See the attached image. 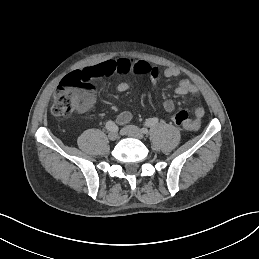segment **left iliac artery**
Returning a JSON list of instances; mask_svg holds the SVG:
<instances>
[{"label": "left iliac artery", "mask_w": 259, "mask_h": 259, "mask_svg": "<svg viewBox=\"0 0 259 259\" xmlns=\"http://www.w3.org/2000/svg\"><path fill=\"white\" fill-rule=\"evenodd\" d=\"M158 118H150V119H147L146 122H145V126L147 127H153L155 125L158 124ZM142 131L143 133H147V129L146 128H142Z\"/></svg>", "instance_id": "obj_1"}]
</instances>
